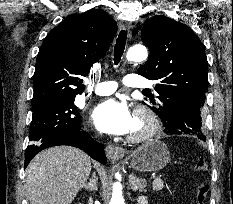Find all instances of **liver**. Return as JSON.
<instances>
[{
  "label": "liver",
  "mask_w": 233,
  "mask_h": 204,
  "mask_svg": "<svg viewBox=\"0 0 233 204\" xmlns=\"http://www.w3.org/2000/svg\"><path fill=\"white\" fill-rule=\"evenodd\" d=\"M90 172V158L79 149L57 146L41 151L25 171L30 204H71Z\"/></svg>",
  "instance_id": "obj_1"
}]
</instances>
